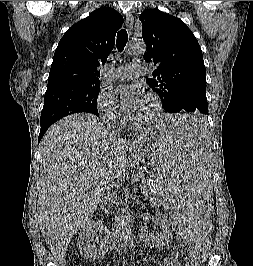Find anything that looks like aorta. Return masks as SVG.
<instances>
[{
	"mask_svg": "<svg viewBox=\"0 0 253 266\" xmlns=\"http://www.w3.org/2000/svg\"><path fill=\"white\" fill-rule=\"evenodd\" d=\"M146 46L143 41H132L129 43L126 54L127 55H141L145 52ZM118 224L121 228V236L124 242H129L132 239V222L128 206H123L118 213Z\"/></svg>",
	"mask_w": 253,
	"mask_h": 266,
	"instance_id": "aorta-1",
	"label": "aorta"
}]
</instances>
